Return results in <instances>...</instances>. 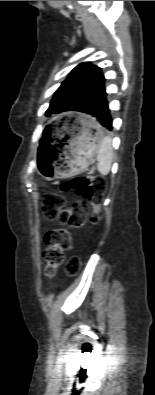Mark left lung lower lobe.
<instances>
[{"instance_id":"obj_1","label":"left lung lower lobe","mask_w":155,"mask_h":395,"mask_svg":"<svg viewBox=\"0 0 155 395\" xmlns=\"http://www.w3.org/2000/svg\"><path fill=\"white\" fill-rule=\"evenodd\" d=\"M106 95L103 82L86 97L81 105L80 112L93 117L99 126L102 125L108 130H112V118L108 109Z\"/></svg>"}]
</instances>
